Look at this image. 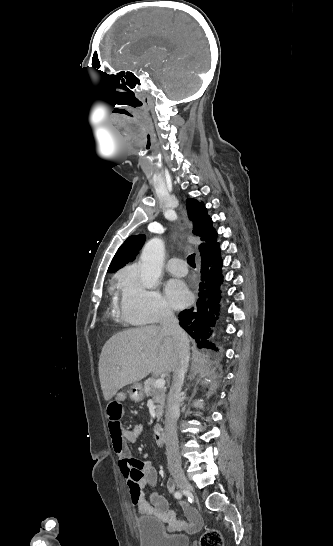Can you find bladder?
Instances as JSON below:
<instances>
[{
  "mask_svg": "<svg viewBox=\"0 0 333 546\" xmlns=\"http://www.w3.org/2000/svg\"><path fill=\"white\" fill-rule=\"evenodd\" d=\"M136 532L140 546H189L190 539L185 534H170L160 521L144 516L136 521Z\"/></svg>",
  "mask_w": 333,
  "mask_h": 546,
  "instance_id": "31cf9c89",
  "label": "bladder"
}]
</instances>
